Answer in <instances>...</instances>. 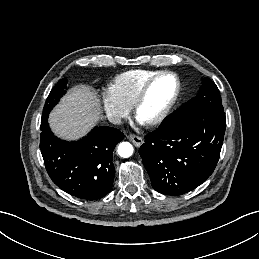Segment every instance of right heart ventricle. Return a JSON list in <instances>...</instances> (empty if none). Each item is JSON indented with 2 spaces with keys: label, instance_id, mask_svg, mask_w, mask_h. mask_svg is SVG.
<instances>
[{
  "label": "right heart ventricle",
  "instance_id": "1",
  "mask_svg": "<svg viewBox=\"0 0 259 259\" xmlns=\"http://www.w3.org/2000/svg\"><path fill=\"white\" fill-rule=\"evenodd\" d=\"M157 73L158 71L142 69L123 72L115 77L110 90L120 102L130 108L144 83Z\"/></svg>",
  "mask_w": 259,
  "mask_h": 259
}]
</instances>
